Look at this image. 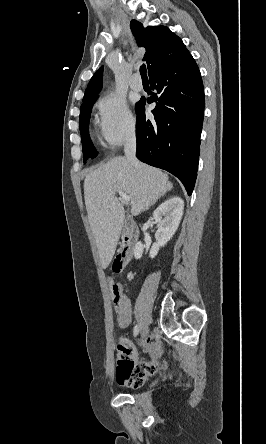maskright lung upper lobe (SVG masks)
I'll return each mask as SVG.
<instances>
[{
    "label": "right lung upper lobe",
    "mask_w": 266,
    "mask_h": 444,
    "mask_svg": "<svg viewBox=\"0 0 266 444\" xmlns=\"http://www.w3.org/2000/svg\"><path fill=\"white\" fill-rule=\"evenodd\" d=\"M130 27L137 44L146 49L143 60L147 63L149 77L191 57L182 40L165 26L144 28L140 22L132 20ZM102 77L103 66L91 78L84 94L83 103L97 98L102 88Z\"/></svg>",
    "instance_id": "right-lung-upper-lobe-1"
}]
</instances>
